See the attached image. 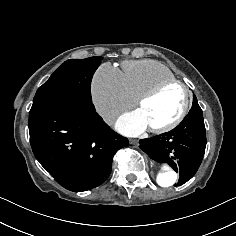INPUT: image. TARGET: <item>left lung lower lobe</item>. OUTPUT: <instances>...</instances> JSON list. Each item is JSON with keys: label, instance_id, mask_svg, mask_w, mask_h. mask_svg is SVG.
I'll list each match as a JSON object with an SVG mask.
<instances>
[{"label": "left lung lower lobe", "instance_id": "left-lung-lower-lobe-1", "mask_svg": "<svg viewBox=\"0 0 236 236\" xmlns=\"http://www.w3.org/2000/svg\"><path fill=\"white\" fill-rule=\"evenodd\" d=\"M140 148L159 163H168L179 172L180 186L197 172L206 148V133L202 113L186 115L173 130L140 140Z\"/></svg>", "mask_w": 236, "mask_h": 236}]
</instances>
